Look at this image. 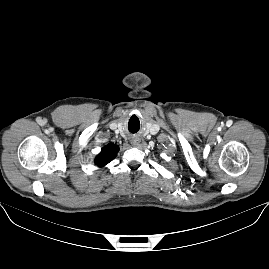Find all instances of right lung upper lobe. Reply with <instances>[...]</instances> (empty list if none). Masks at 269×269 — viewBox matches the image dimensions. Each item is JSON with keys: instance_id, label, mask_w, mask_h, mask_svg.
<instances>
[{"instance_id": "1", "label": "right lung upper lobe", "mask_w": 269, "mask_h": 269, "mask_svg": "<svg viewBox=\"0 0 269 269\" xmlns=\"http://www.w3.org/2000/svg\"><path fill=\"white\" fill-rule=\"evenodd\" d=\"M118 151V146L113 143H109L102 148L100 154L95 159V164L99 167H104L116 157Z\"/></svg>"}]
</instances>
